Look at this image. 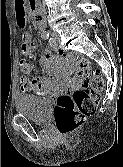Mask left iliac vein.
Here are the masks:
<instances>
[{
  "label": "left iliac vein",
  "mask_w": 123,
  "mask_h": 167,
  "mask_svg": "<svg viewBox=\"0 0 123 167\" xmlns=\"http://www.w3.org/2000/svg\"><path fill=\"white\" fill-rule=\"evenodd\" d=\"M51 35H52V41H53V46H57L58 45V43H59V41H60V37H59V35H58V33L57 32H55V31H52L51 32Z\"/></svg>",
  "instance_id": "left-iliac-vein-1"
}]
</instances>
